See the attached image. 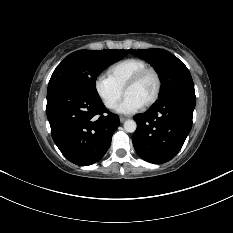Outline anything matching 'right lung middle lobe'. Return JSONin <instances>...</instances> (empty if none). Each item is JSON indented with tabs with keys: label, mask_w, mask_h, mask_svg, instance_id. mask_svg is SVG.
<instances>
[{
	"label": "right lung middle lobe",
	"mask_w": 233,
	"mask_h": 233,
	"mask_svg": "<svg viewBox=\"0 0 233 233\" xmlns=\"http://www.w3.org/2000/svg\"><path fill=\"white\" fill-rule=\"evenodd\" d=\"M128 53L127 50H79L68 55L54 70L47 92L66 89L100 98L95 81L109 65Z\"/></svg>",
	"instance_id": "dd1d6c3e"
}]
</instances>
